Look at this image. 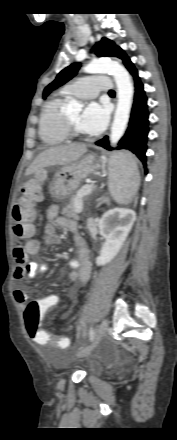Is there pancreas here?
<instances>
[{
  "mask_svg": "<svg viewBox=\"0 0 177 440\" xmlns=\"http://www.w3.org/2000/svg\"><path fill=\"white\" fill-rule=\"evenodd\" d=\"M87 189H92L91 186L87 185L83 188H81L75 195L71 197L70 203L64 207L61 211V214L64 217H67L69 219H79V213L76 211L77 204H81L83 208L82 198L85 196H81Z\"/></svg>",
  "mask_w": 177,
  "mask_h": 440,
  "instance_id": "obj_1",
  "label": "pancreas"
}]
</instances>
